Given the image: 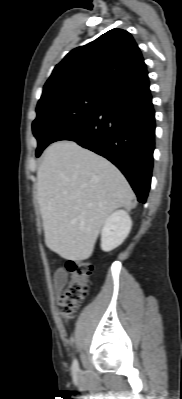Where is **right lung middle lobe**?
<instances>
[{
    "instance_id": "obj_1",
    "label": "right lung middle lobe",
    "mask_w": 182,
    "mask_h": 399,
    "mask_svg": "<svg viewBox=\"0 0 182 399\" xmlns=\"http://www.w3.org/2000/svg\"><path fill=\"white\" fill-rule=\"evenodd\" d=\"M104 100L103 96L74 94L38 102L37 118L33 121V134L38 140L36 156L52 143L55 135L95 113Z\"/></svg>"
}]
</instances>
